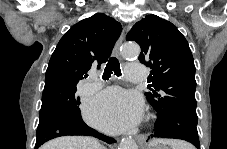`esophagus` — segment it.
I'll list each match as a JSON object with an SVG mask.
<instances>
[{
	"mask_svg": "<svg viewBox=\"0 0 227 149\" xmlns=\"http://www.w3.org/2000/svg\"><path fill=\"white\" fill-rule=\"evenodd\" d=\"M122 42H123V35L120 36V38L118 39V41L116 42L115 47H114V55L117 58L121 57V52L120 51H121ZM136 141H137L138 145H145L146 141H147V138L144 137V136L137 137Z\"/></svg>",
	"mask_w": 227,
	"mask_h": 149,
	"instance_id": "esophagus-1",
	"label": "esophagus"
}]
</instances>
